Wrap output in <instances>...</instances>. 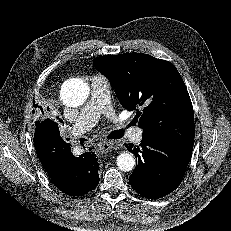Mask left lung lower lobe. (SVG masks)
I'll return each mask as SVG.
<instances>
[{"instance_id":"0a47b994","label":"left lung lower lobe","mask_w":231,"mask_h":231,"mask_svg":"<svg viewBox=\"0 0 231 231\" xmlns=\"http://www.w3.org/2000/svg\"><path fill=\"white\" fill-rule=\"evenodd\" d=\"M125 146L138 157L130 183L149 199H159L180 185L193 150L173 147L156 138H143L139 147L131 143Z\"/></svg>"}]
</instances>
